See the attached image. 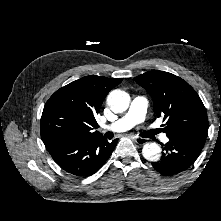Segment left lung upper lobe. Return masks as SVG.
I'll use <instances>...</instances> for the list:
<instances>
[{
  "label": "left lung upper lobe",
  "mask_w": 221,
  "mask_h": 221,
  "mask_svg": "<svg viewBox=\"0 0 221 221\" xmlns=\"http://www.w3.org/2000/svg\"><path fill=\"white\" fill-rule=\"evenodd\" d=\"M152 97L157 117H163L168 138L207 133L206 109L194 89L180 77L152 70L134 78Z\"/></svg>",
  "instance_id": "1"
}]
</instances>
